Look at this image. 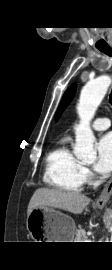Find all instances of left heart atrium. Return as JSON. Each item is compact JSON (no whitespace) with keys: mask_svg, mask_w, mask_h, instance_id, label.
Masks as SVG:
<instances>
[{"mask_svg":"<svg viewBox=\"0 0 112 270\" xmlns=\"http://www.w3.org/2000/svg\"><path fill=\"white\" fill-rule=\"evenodd\" d=\"M97 154L95 170L103 174L112 171V132L100 138L97 143Z\"/></svg>","mask_w":112,"mask_h":270,"instance_id":"left-heart-atrium-1","label":"left heart atrium"}]
</instances>
